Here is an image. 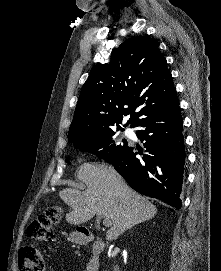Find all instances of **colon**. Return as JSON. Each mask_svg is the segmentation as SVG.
Masks as SVG:
<instances>
[{
  "mask_svg": "<svg viewBox=\"0 0 221 271\" xmlns=\"http://www.w3.org/2000/svg\"><path fill=\"white\" fill-rule=\"evenodd\" d=\"M58 220L57 212L48 208L32 221L28 229L30 237L36 241L50 240L54 237V225L58 223ZM18 267L20 271H46V265L40 251L31 244L20 245Z\"/></svg>",
  "mask_w": 221,
  "mask_h": 271,
  "instance_id": "obj_1",
  "label": "colon"
}]
</instances>
